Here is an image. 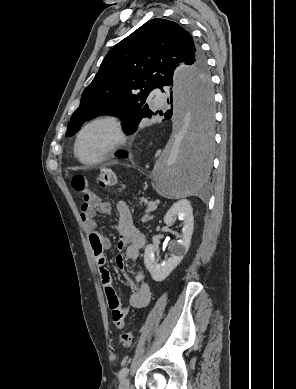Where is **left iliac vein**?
<instances>
[{"instance_id":"4c4485c4","label":"left iliac vein","mask_w":296,"mask_h":389,"mask_svg":"<svg viewBox=\"0 0 296 389\" xmlns=\"http://www.w3.org/2000/svg\"><path fill=\"white\" fill-rule=\"evenodd\" d=\"M129 385H130V382H129V379L128 378H125L123 379L120 384H119V389H129Z\"/></svg>"}]
</instances>
